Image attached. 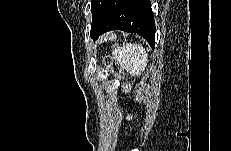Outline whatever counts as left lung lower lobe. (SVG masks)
I'll list each match as a JSON object with an SVG mask.
<instances>
[{
	"label": "left lung lower lobe",
	"mask_w": 231,
	"mask_h": 151,
	"mask_svg": "<svg viewBox=\"0 0 231 151\" xmlns=\"http://www.w3.org/2000/svg\"><path fill=\"white\" fill-rule=\"evenodd\" d=\"M110 30L137 33L154 49L156 29L150 0H110L90 36L96 40Z\"/></svg>",
	"instance_id": "0a47b994"
}]
</instances>
